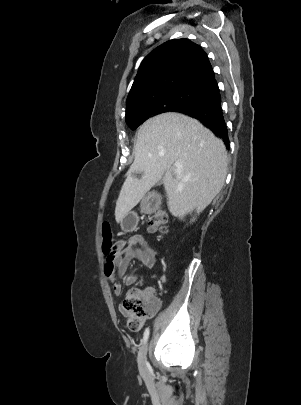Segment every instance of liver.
I'll list each match as a JSON object with an SVG mask.
<instances>
[{
  "mask_svg": "<svg viewBox=\"0 0 301 405\" xmlns=\"http://www.w3.org/2000/svg\"><path fill=\"white\" fill-rule=\"evenodd\" d=\"M226 168L224 143L198 120L174 112L154 116L138 130L135 159L116 202L115 219L121 222L162 177L170 213L181 220L194 211L199 215L221 191Z\"/></svg>",
  "mask_w": 301,
  "mask_h": 405,
  "instance_id": "6515ba94",
  "label": "liver"
}]
</instances>
